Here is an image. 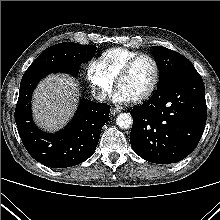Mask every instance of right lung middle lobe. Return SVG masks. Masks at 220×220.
I'll return each instance as SVG.
<instances>
[{
  "instance_id": "obj_1",
  "label": "right lung middle lobe",
  "mask_w": 220,
  "mask_h": 220,
  "mask_svg": "<svg viewBox=\"0 0 220 220\" xmlns=\"http://www.w3.org/2000/svg\"><path fill=\"white\" fill-rule=\"evenodd\" d=\"M95 52V45L62 42L45 49L27 70L79 68V65L90 60Z\"/></svg>"
}]
</instances>
